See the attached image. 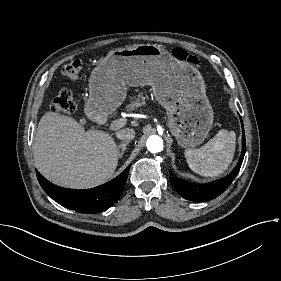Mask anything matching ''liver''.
Instances as JSON below:
<instances>
[{
    "label": "liver",
    "mask_w": 281,
    "mask_h": 281,
    "mask_svg": "<svg viewBox=\"0 0 281 281\" xmlns=\"http://www.w3.org/2000/svg\"><path fill=\"white\" fill-rule=\"evenodd\" d=\"M38 171L64 188L89 189L104 184L117 166L116 143L101 130H85L73 117L46 112L33 143Z\"/></svg>",
    "instance_id": "6515ba94"
}]
</instances>
